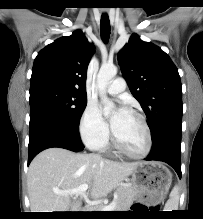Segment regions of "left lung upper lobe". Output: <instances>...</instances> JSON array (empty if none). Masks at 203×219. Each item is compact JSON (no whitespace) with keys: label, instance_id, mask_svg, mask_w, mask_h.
<instances>
[{"label":"left lung upper lobe","instance_id":"obj_1","mask_svg":"<svg viewBox=\"0 0 203 219\" xmlns=\"http://www.w3.org/2000/svg\"><path fill=\"white\" fill-rule=\"evenodd\" d=\"M118 63L133 96L145 112L152 141L182 121V86L176 66L152 43L133 34L119 51Z\"/></svg>","mask_w":203,"mask_h":219}]
</instances>
